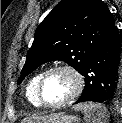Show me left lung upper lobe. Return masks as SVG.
Wrapping results in <instances>:
<instances>
[{
    "mask_svg": "<svg viewBox=\"0 0 122 123\" xmlns=\"http://www.w3.org/2000/svg\"><path fill=\"white\" fill-rule=\"evenodd\" d=\"M115 20L101 0H62L35 31L21 81L45 62L62 60L82 73Z\"/></svg>",
    "mask_w": 122,
    "mask_h": 123,
    "instance_id": "1",
    "label": "left lung upper lobe"
}]
</instances>
